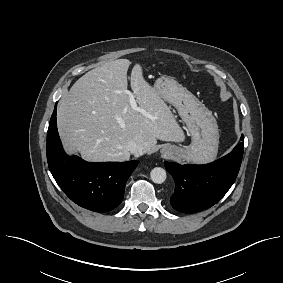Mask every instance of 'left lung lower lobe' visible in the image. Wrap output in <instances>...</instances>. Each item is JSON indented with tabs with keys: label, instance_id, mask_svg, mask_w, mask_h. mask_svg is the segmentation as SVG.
<instances>
[{
	"label": "left lung lower lobe",
	"instance_id": "obj_1",
	"mask_svg": "<svg viewBox=\"0 0 283 283\" xmlns=\"http://www.w3.org/2000/svg\"><path fill=\"white\" fill-rule=\"evenodd\" d=\"M244 137L231 153L206 165H180L164 162L175 181L172 207L182 213H195L216 204L230 189L240 169Z\"/></svg>",
	"mask_w": 283,
	"mask_h": 283
}]
</instances>
